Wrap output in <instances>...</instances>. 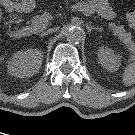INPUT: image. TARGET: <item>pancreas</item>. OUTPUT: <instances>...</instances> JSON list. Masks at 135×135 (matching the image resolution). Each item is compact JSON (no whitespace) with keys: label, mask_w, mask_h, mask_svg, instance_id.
<instances>
[{"label":"pancreas","mask_w":135,"mask_h":135,"mask_svg":"<svg viewBox=\"0 0 135 135\" xmlns=\"http://www.w3.org/2000/svg\"><path fill=\"white\" fill-rule=\"evenodd\" d=\"M51 16L48 13L34 16L31 20L30 30L34 33L43 31L47 28ZM109 28L113 31L120 41L126 46V48L135 53V43L132 41V36L124 30L123 26H117L115 23H110Z\"/></svg>","instance_id":"pancreas-1"}]
</instances>
